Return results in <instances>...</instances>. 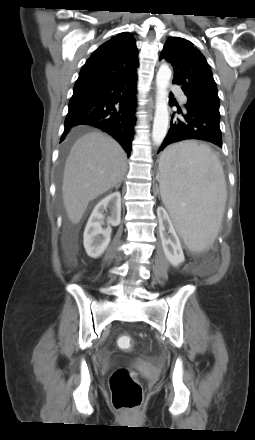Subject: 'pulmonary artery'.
Listing matches in <instances>:
<instances>
[{"label": "pulmonary artery", "instance_id": "e3ab8cb5", "mask_svg": "<svg viewBox=\"0 0 255 440\" xmlns=\"http://www.w3.org/2000/svg\"><path fill=\"white\" fill-rule=\"evenodd\" d=\"M171 90H172V92H174L177 95H179L181 103L184 104L186 102V97L183 95V93H182V91H181L179 86L174 85V86L171 87Z\"/></svg>", "mask_w": 255, "mask_h": 440}]
</instances>
